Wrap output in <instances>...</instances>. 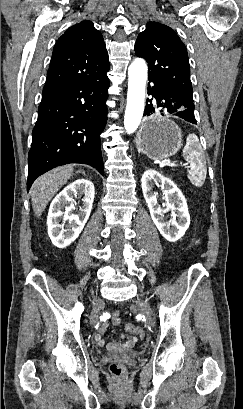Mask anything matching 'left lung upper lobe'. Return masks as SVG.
Instances as JSON below:
<instances>
[{
  "label": "left lung upper lobe",
  "mask_w": 243,
  "mask_h": 409,
  "mask_svg": "<svg viewBox=\"0 0 243 409\" xmlns=\"http://www.w3.org/2000/svg\"><path fill=\"white\" fill-rule=\"evenodd\" d=\"M135 54L147 61L149 78L192 95L187 50L170 27L149 22L138 35Z\"/></svg>",
  "instance_id": "5c2ea615"
}]
</instances>
